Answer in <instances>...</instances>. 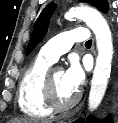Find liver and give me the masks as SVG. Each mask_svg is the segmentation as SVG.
I'll return each instance as SVG.
<instances>
[{
    "label": "liver",
    "mask_w": 118,
    "mask_h": 123,
    "mask_svg": "<svg viewBox=\"0 0 118 123\" xmlns=\"http://www.w3.org/2000/svg\"><path fill=\"white\" fill-rule=\"evenodd\" d=\"M9 123H52V121L22 118V119H13Z\"/></svg>",
    "instance_id": "liver-1"
}]
</instances>
